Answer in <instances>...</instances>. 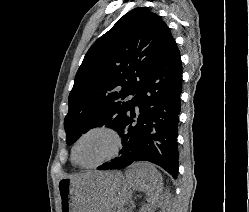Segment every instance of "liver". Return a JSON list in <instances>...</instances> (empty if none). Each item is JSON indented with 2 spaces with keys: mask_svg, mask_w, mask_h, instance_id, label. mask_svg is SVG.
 Returning <instances> with one entry per match:
<instances>
[{
  "mask_svg": "<svg viewBox=\"0 0 249 212\" xmlns=\"http://www.w3.org/2000/svg\"><path fill=\"white\" fill-rule=\"evenodd\" d=\"M154 168L152 164H131L128 170H126L125 176L121 174H115V172H87V174H81L80 178H86V180H96L98 182L99 190L103 196L105 212H111V208H122L127 206L132 198V190L136 192H147V200L153 204L154 196L157 192L154 186L159 184L160 194L162 190V178L161 176H151L150 172ZM156 170V168H155ZM151 186L153 188V198L148 192Z\"/></svg>",
  "mask_w": 249,
  "mask_h": 212,
  "instance_id": "1",
  "label": "liver"
}]
</instances>
